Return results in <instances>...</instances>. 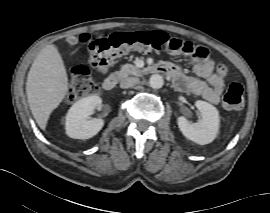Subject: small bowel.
Returning a JSON list of instances; mask_svg holds the SVG:
<instances>
[{"instance_id":"1","label":"small bowel","mask_w":270,"mask_h":213,"mask_svg":"<svg viewBox=\"0 0 270 213\" xmlns=\"http://www.w3.org/2000/svg\"><path fill=\"white\" fill-rule=\"evenodd\" d=\"M162 67L170 72V77L180 90L201 95L210 103H217L225 89L224 76L215 70V61L208 55L205 58L194 60L192 69L196 77L184 75L178 65L167 64ZM97 70L100 74L105 75L108 73V66L99 65Z\"/></svg>"}]
</instances>
